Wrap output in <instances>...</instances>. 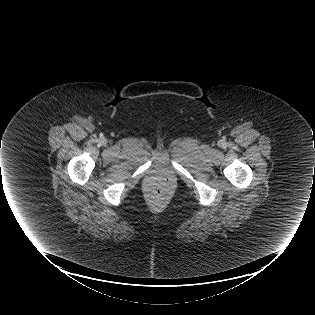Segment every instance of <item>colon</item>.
<instances>
[{
  "mask_svg": "<svg viewBox=\"0 0 315 315\" xmlns=\"http://www.w3.org/2000/svg\"><path fill=\"white\" fill-rule=\"evenodd\" d=\"M151 196L155 199V200H161L165 197V191L163 188L161 187H155L152 189L151 191Z\"/></svg>",
  "mask_w": 315,
  "mask_h": 315,
  "instance_id": "obj_1",
  "label": "colon"
}]
</instances>
